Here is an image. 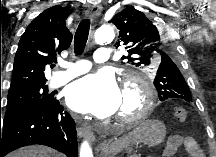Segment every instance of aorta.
Returning <instances> with one entry per match:
<instances>
[{
	"label": "aorta",
	"mask_w": 216,
	"mask_h": 157,
	"mask_svg": "<svg viewBox=\"0 0 216 157\" xmlns=\"http://www.w3.org/2000/svg\"><path fill=\"white\" fill-rule=\"evenodd\" d=\"M115 33H114V27L112 25H103L97 29L95 32V41L99 44H102L104 42H110L114 39ZM116 154V150L113 149L111 151H108L105 156H111L113 157ZM80 157H93L92 150L89 146V143L87 141H84L81 145Z\"/></svg>",
	"instance_id": "1"
}]
</instances>
